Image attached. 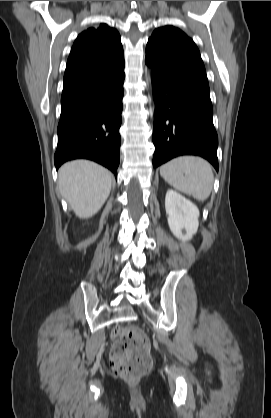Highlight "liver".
<instances>
[{
	"instance_id": "obj_1",
	"label": "liver",
	"mask_w": 271,
	"mask_h": 418,
	"mask_svg": "<svg viewBox=\"0 0 271 418\" xmlns=\"http://www.w3.org/2000/svg\"><path fill=\"white\" fill-rule=\"evenodd\" d=\"M58 173L60 194L79 218H90L101 209L111 191L110 171L88 160H75Z\"/></svg>"
}]
</instances>
